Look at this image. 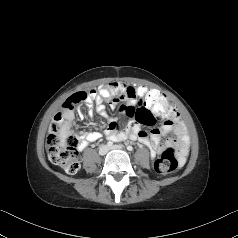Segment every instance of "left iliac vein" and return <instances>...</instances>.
I'll return each instance as SVG.
<instances>
[{
    "label": "left iliac vein",
    "mask_w": 238,
    "mask_h": 238,
    "mask_svg": "<svg viewBox=\"0 0 238 238\" xmlns=\"http://www.w3.org/2000/svg\"><path fill=\"white\" fill-rule=\"evenodd\" d=\"M109 150H123V147L121 145H113Z\"/></svg>",
    "instance_id": "left-iliac-vein-1"
}]
</instances>
